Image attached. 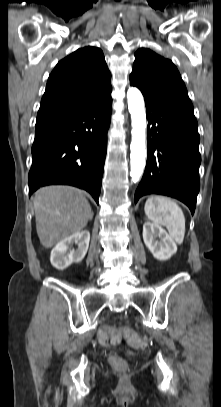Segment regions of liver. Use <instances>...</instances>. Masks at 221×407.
<instances>
[{"instance_id":"6515ba94","label":"liver","mask_w":221,"mask_h":407,"mask_svg":"<svg viewBox=\"0 0 221 407\" xmlns=\"http://www.w3.org/2000/svg\"><path fill=\"white\" fill-rule=\"evenodd\" d=\"M34 210L40 243L50 248L80 232L93 215L81 190L70 186H46L35 192Z\"/></svg>"}]
</instances>
